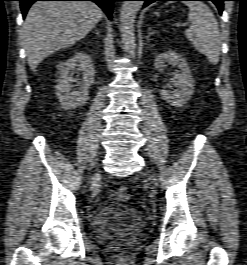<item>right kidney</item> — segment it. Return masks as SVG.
Masks as SVG:
<instances>
[{
	"mask_svg": "<svg viewBox=\"0 0 247 265\" xmlns=\"http://www.w3.org/2000/svg\"><path fill=\"white\" fill-rule=\"evenodd\" d=\"M76 66L83 72L81 81H77L69 76L70 71ZM59 79L56 85V96L60 104L65 109L76 108L86 104L89 99L88 89L94 83V66L90 56L84 52L75 53L68 60L58 65ZM79 86L78 91H74L73 83Z\"/></svg>",
	"mask_w": 247,
	"mask_h": 265,
	"instance_id": "1",
	"label": "right kidney"
}]
</instances>
